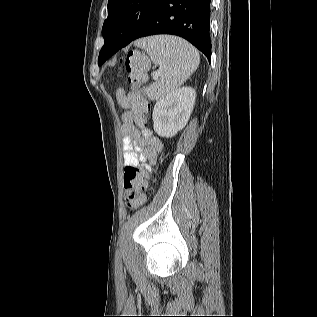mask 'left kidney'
Segmentation results:
<instances>
[{"instance_id": "1", "label": "left kidney", "mask_w": 317, "mask_h": 317, "mask_svg": "<svg viewBox=\"0 0 317 317\" xmlns=\"http://www.w3.org/2000/svg\"><path fill=\"white\" fill-rule=\"evenodd\" d=\"M196 92L182 87L161 98L153 109L154 131L160 137L171 138L187 124L193 110Z\"/></svg>"}]
</instances>
